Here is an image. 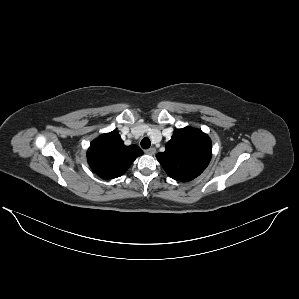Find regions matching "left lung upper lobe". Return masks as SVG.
<instances>
[{
	"instance_id": "obj_1",
	"label": "left lung upper lobe",
	"mask_w": 299,
	"mask_h": 299,
	"mask_svg": "<svg viewBox=\"0 0 299 299\" xmlns=\"http://www.w3.org/2000/svg\"><path fill=\"white\" fill-rule=\"evenodd\" d=\"M211 156L210 138L192 127L175 130L166 144V150L156 155L166 173L182 182L199 176L208 166Z\"/></svg>"
}]
</instances>
